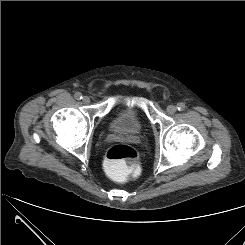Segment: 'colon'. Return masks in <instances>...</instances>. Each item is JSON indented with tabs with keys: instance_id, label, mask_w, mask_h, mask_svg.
Here are the masks:
<instances>
[{
	"instance_id": "obj_1",
	"label": "colon",
	"mask_w": 245,
	"mask_h": 245,
	"mask_svg": "<svg viewBox=\"0 0 245 245\" xmlns=\"http://www.w3.org/2000/svg\"><path fill=\"white\" fill-rule=\"evenodd\" d=\"M138 158L136 148L126 144L112 145L105 154L104 164L108 175L114 180H122L131 173Z\"/></svg>"
}]
</instances>
